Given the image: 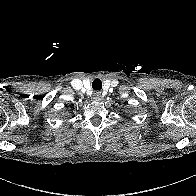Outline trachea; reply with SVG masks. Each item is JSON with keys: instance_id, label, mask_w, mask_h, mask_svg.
I'll return each mask as SVG.
<instances>
[{"instance_id": "obj_1", "label": "trachea", "mask_w": 196, "mask_h": 196, "mask_svg": "<svg viewBox=\"0 0 196 196\" xmlns=\"http://www.w3.org/2000/svg\"><path fill=\"white\" fill-rule=\"evenodd\" d=\"M92 88L94 90H100L102 88V82L99 79H95L92 83Z\"/></svg>"}]
</instances>
